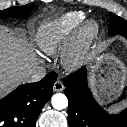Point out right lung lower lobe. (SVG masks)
I'll return each instance as SVG.
<instances>
[{
    "mask_svg": "<svg viewBox=\"0 0 127 127\" xmlns=\"http://www.w3.org/2000/svg\"><path fill=\"white\" fill-rule=\"evenodd\" d=\"M56 78V73H48L41 81L21 85L0 100V127H35Z\"/></svg>",
    "mask_w": 127,
    "mask_h": 127,
    "instance_id": "obj_1",
    "label": "right lung lower lobe"
}]
</instances>
